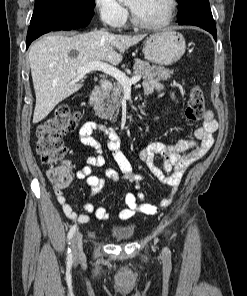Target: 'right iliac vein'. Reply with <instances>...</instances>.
I'll use <instances>...</instances> for the list:
<instances>
[{
    "label": "right iliac vein",
    "mask_w": 247,
    "mask_h": 296,
    "mask_svg": "<svg viewBox=\"0 0 247 296\" xmlns=\"http://www.w3.org/2000/svg\"><path fill=\"white\" fill-rule=\"evenodd\" d=\"M72 250L75 259L83 256L82 236L80 233H76L72 239Z\"/></svg>",
    "instance_id": "1"
}]
</instances>
